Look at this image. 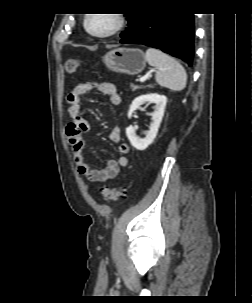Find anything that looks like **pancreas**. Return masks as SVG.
Listing matches in <instances>:
<instances>
[{"instance_id":"pancreas-1","label":"pancreas","mask_w":252,"mask_h":303,"mask_svg":"<svg viewBox=\"0 0 252 303\" xmlns=\"http://www.w3.org/2000/svg\"><path fill=\"white\" fill-rule=\"evenodd\" d=\"M139 88H140L139 86L131 85V89H132L133 91L138 90Z\"/></svg>"}]
</instances>
